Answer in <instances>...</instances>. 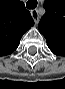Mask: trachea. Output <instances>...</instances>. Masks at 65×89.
Returning <instances> with one entry per match:
<instances>
[{"instance_id": "1", "label": "trachea", "mask_w": 65, "mask_h": 89, "mask_svg": "<svg viewBox=\"0 0 65 89\" xmlns=\"http://www.w3.org/2000/svg\"><path fill=\"white\" fill-rule=\"evenodd\" d=\"M37 6V0H28L26 3L27 9H35Z\"/></svg>"}]
</instances>
